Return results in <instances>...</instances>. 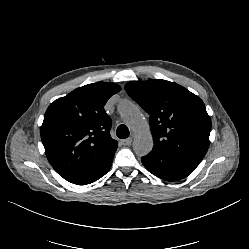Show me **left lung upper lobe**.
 Returning a JSON list of instances; mask_svg holds the SVG:
<instances>
[{
  "label": "left lung upper lobe",
  "mask_w": 249,
  "mask_h": 249,
  "mask_svg": "<svg viewBox=\"0 0 249 249\" xmlns=\"http://www.w3.org/2000/svg\"><path fill=\"white\" fill-rule=\"evenodd\" d=\"M125 90L150 115L153 152L201 162L209 146L211 120L198 96L166 80L132 81Z\"/></svg>",
  "instance_id": "5c2ea615"
}]
</instances>
